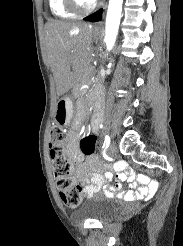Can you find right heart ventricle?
I'll return each mask as SVG.
<instances>
[{"label":"right heart ventricle","mask_w":183,"mask_h":246,"mask_svg":"<svg viewBox=\"0 0 183 246\" xmlns=\"http://www.w3.org/2000/svg\"><path fill=\"white\" fill-rule=\"evenodd\" d=\"M49 7L52 14L59 18H72L76 15L67 7L65 0H49Z\"/></svg>","instance_id":"obj_1"}]
</instances>
